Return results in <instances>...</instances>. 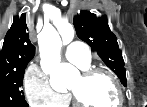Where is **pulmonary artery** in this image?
<instances>
[{
    "mask_svg": "<svg viewBox=\"0 0 147 107\" xmlns=\"http://www.w3.org/2000/svg\"><path fill=\"white\" fill-rule=\"evenodd\" d=\"M65 57L72 64L85 68L91 62L90 51L87 45L80 42H73L67 46Z\"/></svg>",
    "mask_w": 147,
    "mask_h": 107,
    "instance_id": "obj_1",
    "label": "pulmonary artery"
}]
</instances>
